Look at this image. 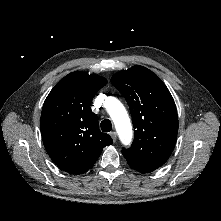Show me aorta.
<instances>
[{
  "mask_svg": "<svg viewBox=\"0 0 221 221\" xmlns=\"http://www.w3.org/2000/svg\"><path fill=\"white\" fill-rule=\"evenodd\" d=\"M105 107L114 122L121 142L125 145L130 144L133 137L132 125L123 104L114 97H108Z\"/></svg>",
  "mask_w": 221,
  "mask_h": 221,
  "instance_id": "1",
  "label": "aorta"
}]
</instances>
